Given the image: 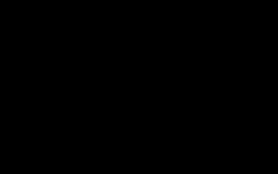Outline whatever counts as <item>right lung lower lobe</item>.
Segmentation results:
<instances>
[{"label":"right lung lower lobe","instance_id":"1","mask_svg":"<svg viewBox=\"0 0 278 174\" xmlns=\"http://www.w3.org/2000/svg\"><path fill=\"white\" fill-rule=\"evenodd\" d=\"M51 106L61 136L91 153L112 143L120 117L133 103L134 92L117 77L66 72L53 80Z\"/></svg>","mask_w":278,"mask_h":174}]
</instances>
